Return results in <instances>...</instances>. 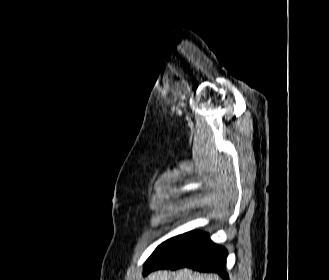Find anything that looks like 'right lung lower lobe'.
I'll use <instances>...</instances> for the list:
<instances>
[{"label": "right lung lower lobe", "mask_w": 329, "mask_h": 280, "mask_svg": "<svg viewBox=\"0 0 329 280\" xmlns=\"http://www.w3.org/2000/svg\"><path fill=\"white\" fill-rule=\"evenodd\" d=\"M226 257V249L214 244L207 233L191 231L178 236L158 263L145 274L157 269L189 267L202 272H216L224 280H229Z\"/></svg>", "instance_id": "obj_1"}]
</instances>
